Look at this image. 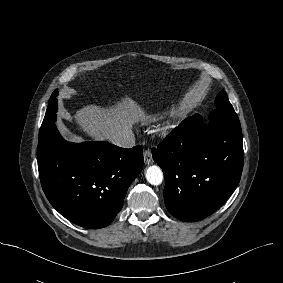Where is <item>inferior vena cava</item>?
<instances>
[{
	"mask_svg": "<svg viewBox=\"0 0 283 283\" xmlns=\"http://www.w3.org/2000/svg\"><path fill=\"white\" fill-rule=\"evenodd\" d=\"M112 144L123 147L132 148L135 145L134 134L131 130H124L110 138Z\"/></svg>",
	"mask_w": 283,
	"mask_h": 283,
	"instance_id": "inferior-vena-cava-1",
	"label": "inferior vena cava"
}]
</instances>
